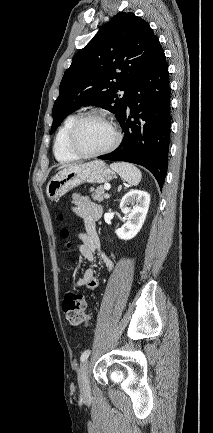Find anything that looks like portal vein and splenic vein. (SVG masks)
<instances>
[{
  "instance_id": "obj_1",
  "label": "portal vein and splenic vein",
  "mask_w": 213,
  "mask_h": 433,
  "mask_svg": "<svg viewBox=\"0 0 213 433\" xmlns=\"http://www.w3.org/2000/svg\"><path fill=\"white\" fill-rule=\"evenodd\" d=\"M110 187H111V186H110L109 184H105V185H104V188H105L106 190H109ZM108 197H109V196H107V198H108Z\"/></svg>"
}]
</instances>
